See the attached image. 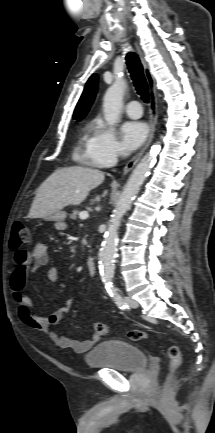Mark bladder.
I'll return each instance as SVG.
<instances>
[{
    "mask_svg": "<svg viewBox=\"0 0 215 433\" xmlns=\"http://www.w3.org/2000/svg\"><path fill=\"white\" fill-rule=\"evenodd\" d=\"M91 368L137 372L147 366L146 354L137 346L121 340H105L85 357Z\"/></svg>",
    "mask_w": 215,
    "mask_h": 433,
    "instance_id": "obj_1",
    "label": "bladder"
}]
</instances>
